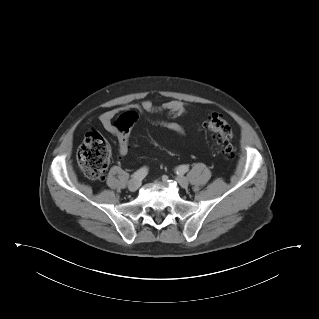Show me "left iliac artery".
Segmentation results:
<instances>
[{
    "mask_svg": "<svg viewBox=\"0 0 319 319\" xmlns=\"http://www.w3.org/2000/svg\"><path fill=\"white\" fill-rule=\"evenodd\" d=\"M188 170H189V167H188V166H186V165H180V166L177 168V173L184 174V173H186Z\"/></svg>",
    "mask_w": 319,
    "mask_h": 319,
    "instance_id": "44dca946",
    "label": "left iliac artery"
}]
</instances>
